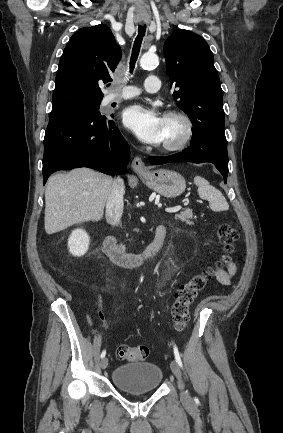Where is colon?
I'll list each match as a JSON object with an SVG mask.
<instances>
[{"label": "colon", "instance_id": "1", "mask_svg": "<svg viewBox=\"0 0 283 433\" xmlns=\"http://www.w3.org/2000/svg\"><path fill=\"white\" fill-rule=\"evenodd\" d=\"M216 233L219 241L223 245L227 258V256H230L235 250V243L239 238V233L236 228L226 223L218 224ZM213 276V269L204 270L192 276L175 292L171 314L174 328L177 332H183L186 329L190 318L191 305ZM116 354L118 358L122 360L139 361L148 357L149 348L145 345H120L117 348Z\"/></svg>", "mask_w": 283, "mask_h": 433}]
</instances>
